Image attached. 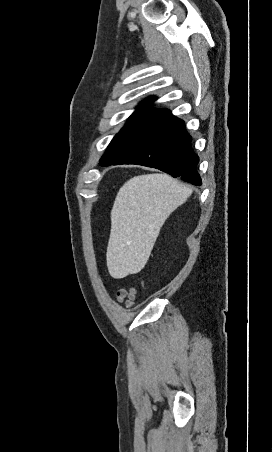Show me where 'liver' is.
<instances>
[{
  "label": "liver",
  "instance_id": "liver-1",
  "mask_svg": "<svg viewBox=\"0 0 272 452\" xmlns=\"http://www.w3.org/2000/svg\"><path fill=\"white\" fill-rule=\"evenodd\" d=\"M190 194L187 186L158 173L135 176L120 188L111 210L106 253L113 278L137 274L145 267L161 227Z\"/></svg>",
  "mask_w": 272,
  "mask_h": 452
}]
</instances>
